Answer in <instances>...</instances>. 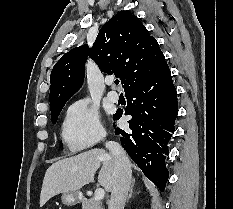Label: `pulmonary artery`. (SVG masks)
<instances>
[{"label": "pulmonary artery", "instance_id": "obj_1", "mask_svg": "<svg viewBox=\"0 0 233 209\" xmlns=\"http://www.w3.org/2000/svg\"><path fill=\"white\" fill-rule=\"evenodd\" d=\"M107 83L110 86L113 85L112 80H109ZM107 97L112 102H117L119 100V94L116 91H109L108 94H107Z\"/></svg>", "mask_w": 233, "mask_h": 209}]
</instances>
